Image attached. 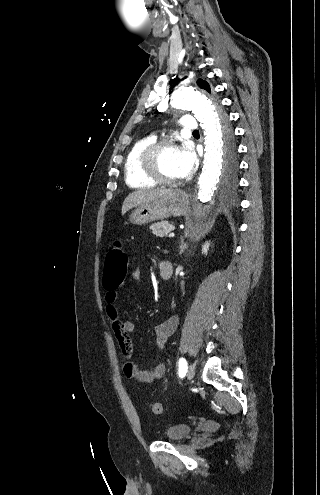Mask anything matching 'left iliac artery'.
<instances>
[{
  "mask_svg": "<svg viewBox=\"0 0 320 495\" xmlns=\"http://www.w3.org/2000/svg\"><path fill=\"white\" fill-rule=\"evenodd\" d=\"M187 372V361L184 358L179 359V376L183 377Z\"/></svg>",
  "mask_w": 320,
  "mask_h": 495,
  "instance_id": "1",
  "label": "left iliac artery"
}]
</instances>
